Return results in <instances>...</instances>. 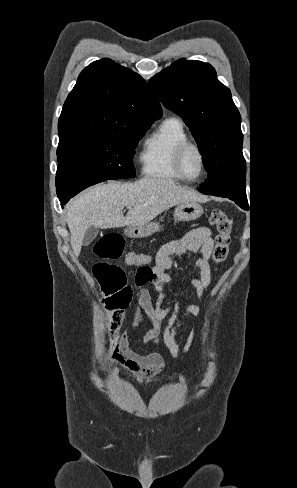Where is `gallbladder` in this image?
<instances>
[{
  "label": "gallbladder",
  "mask_w": 297,
  "mask_h": 488,
  "mask_svg": "<svg viewBox=\"0 0 297 488\" xmlns=\"http://www.w3.org/2000/svg\"><path fill=\"white\" fill-rule=\"evenodd\" d=\"M99 228L95 226H91L87 229L85 232L84 238H83V245L87 246L89 245L98 235Z\"/></svg>",
  "instance_id": "gallbladder-1"
}]
</instances>
